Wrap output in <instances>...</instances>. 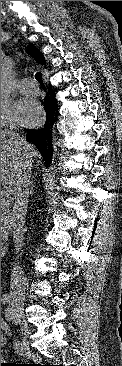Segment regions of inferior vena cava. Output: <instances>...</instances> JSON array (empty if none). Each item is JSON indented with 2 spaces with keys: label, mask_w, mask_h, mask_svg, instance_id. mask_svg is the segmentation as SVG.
I'll use <instances>...</instances> for the list:
<instances>
[{
  "label": "inferior vena cava",
  "mask_w": 122,
  "mask_h": 366,
  "mask_svg": "<svg viewBox=\"0 0 122 366\" xmlns=\"http://www.w3.org/2000/svg\"><path fill=\"white\" fill-rule=\"evenodd\" d=\"M10 137L14 138L15 144H23V138L11 131ZM28 150V146L24 148ZM27 160L23 166V173L19 180L16 182L12 189V194L14 196L15 202L11 216L9 218V227L11 228L13 234V241L15 243V250L18 253L21 247L24 245V233L25 229V217L29 202V195L32 193V181H31V156L27 154ZM20 267L15 266L13 273L11 275V290L10 294L14 297L22 298L24 297V285Z\"/></svg>",
  "instance_id": "obj_1"
}]
</instances>
